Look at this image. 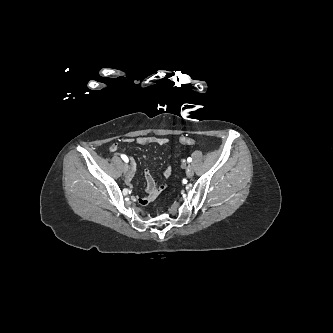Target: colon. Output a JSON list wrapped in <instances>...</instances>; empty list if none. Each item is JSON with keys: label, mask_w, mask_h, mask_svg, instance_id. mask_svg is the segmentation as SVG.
Masks as SVG:
<instances>
[{"label": "colon", "mask_w": 333, "mask_h": 333, "mask_svg": "<svg viewBox=\"0 0 333 333\" xmlns=\"http://www.w3.org/2000/svg\"><path fill=\"white\" fill-rule=\"evenodd\" d=\"M180 143L183 145H194L196 143V141L189 137H182L180 139Z\"/></svg>", "instance_id": "colon-1"}]
</instances>
